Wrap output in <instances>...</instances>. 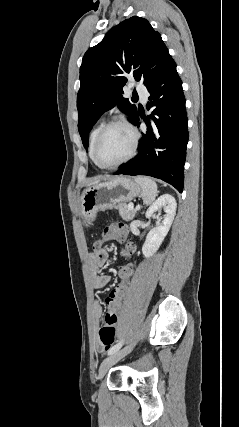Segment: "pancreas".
Returning a JSON list of instances; mask_svg holds the SVG:
<instances>
[{"label":"pancreas","instance_id":"cf45deb5","mask_svg":"<svg viewBox=\"0 0 239 427\" xmlns=\"http://www.w3.org/2000/svg\"><path fill=\"white\" fill-rule=\"evenodd\" d=\"M115 209L119 211L120 216L125 221H131L135 217L136 210H130L128 205L125 203H120L115 206Z\"/></svg>","mask_w":239,"mask_h":427}]
</instances>
